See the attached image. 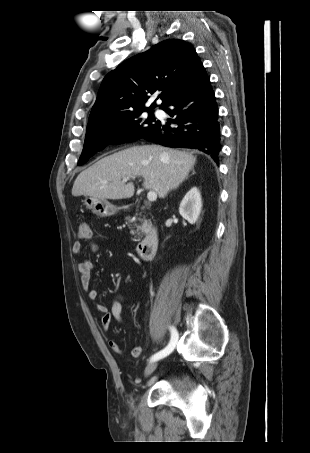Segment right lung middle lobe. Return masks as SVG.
Masks as SVG:
<instances>
[{
    "mask_svg": "<svg viewBox=\"0 0 310 453\" xmlns=\"http://www.w3.org/2000/svg\"><path fill=\"white\" fill-rule=\"evenodd\" d=\"M144 111L148 112L147 117L142 115ZM152 116V110H139L88 127L78 165L85 163L108 144L142 138L158 123Z\"/></svg>",
    "mask_w": 310,
    "mask_h": 453,
    "instance_id": "right-lung-middle-lobe-1",
    "label": "right lung middle lobe"
}]
</instances>
